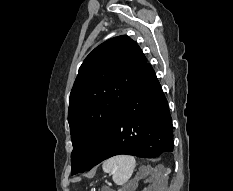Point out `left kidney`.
Returning a JSON list of instances; mask_svg holds the SVG:
<instances>
[{
	"label": "left kidney",
	"mask_w": 233,
	"mask_h": 191,
	"mask_svg": "<svg viewBox=\"0 0 233 191\" xmlns=\"http://www.w3.org/2000/svg\"><path fill=\"white\" fill-rule=\"evenodd\" d=\"M140 178H146L145 176H141ZM155 181H156V184H153L150 188L152 190L150 191H161L160 189V185H161V180H160V175H156L155 176Z\"/></svg>",
	"instance_id": "5707ae66"
}]
</instances>
